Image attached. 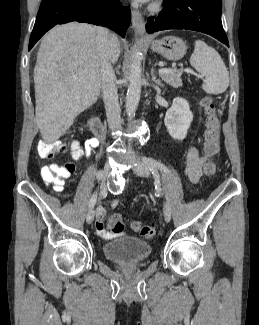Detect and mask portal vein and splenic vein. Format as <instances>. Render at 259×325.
Returning a JSON list of instances; mask_svg holds the SVG:
<instances>
[{
    "instance_id": "18ae733b",
    "label": "portal vein and splenic vein",
    "mask_w": 259,
    "mask_h": 325,
    "mask_svg": "<svg viewBox=\"0 0 259 325\" xmlns=\"http://www.w3.org/2000/svg\"><path fill=\"white\" fill-rule=\"evenodd\" d=\"M176 70H171V69H166V68H161L158 70L159 74H163V73H168V72H175Z\"/></svg>"
}]
</instances>
